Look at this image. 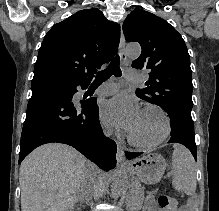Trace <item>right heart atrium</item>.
Listing matches in <instances>:
<instances>
[{"instance_id": "obj_1", "label": "right heart atrium", "mask_w": 219, "mask_h": 211, "mask_svg": "<svg viewBox=\"0 0 219 211\" xmlns=\"http://www.w3.org/2000/svg\"><path fill=\"white\" fill-rule=\"evenodd\" d=\"M105 133H106L107 135H109V134L111 133V131H110L109 129H105Z\"/></svg>"}]
</instances>
